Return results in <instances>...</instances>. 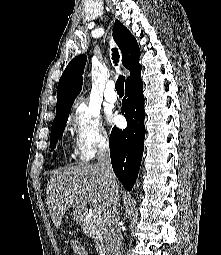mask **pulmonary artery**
<instances>
[{
  "mask_svg": "<svg viewBox=\"0 0 221 255\" xmlns=\"http://www.w3.org/2000/svg\"><path fill=\"white\" fill-rule=\"evenodd\" d=\"M104 97L106 101L110 103H115L117 101V94L115 92V84L113 81H108L106 83Z\"/></svg>",
  "mask_w": 221,
  "mask_h": 255,
  "instance_id": "obj_1",
  "label": "pulmonary artery"
}]
</instances>
